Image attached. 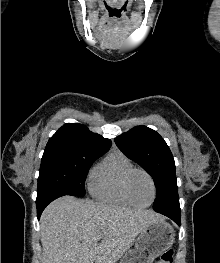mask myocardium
<instances>
[{"instance_id":"obj_1","label":"myocardium","mask_w":220,"mask_h":263,"mask_svg":"<svg viewBox=\"0 0 220 263\" xmlns=\"http://www.w3.org/2000/svg\"><path fill=\"white\" fill-rule=\"evenodd\" d=\"M138 173H141V174L145 175L148 178V180H149V182L151 184V187H152V199L147 204H138V203H136L135 200L133 199L131 191H130L131 180H132L133 176L135 174H138ZM124 193H125V196L128 199V201L133 206H136V207H139V208H146V207H149L150 205H152L153 202L156 199V195H157L156 183H155L152 175L149 172H147L144 169L134 168L125 177V180H124Z\"/></svg>"}]
</instances>
